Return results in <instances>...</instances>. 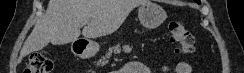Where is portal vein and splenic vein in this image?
Returning a JSON list of instances; mask_svg holds the SVG:
<instances>
[{
  "label": "portal vein and splenic vein",
  "instance_id": "1",
  "mask_svg": "<svg viewBox=\"0 0 244 73\" xmlns=\"http://www.w3.org/2000/svg\"><path fill=\"white\" fill-rule=\"evenodd\" d=\"M90 21L89 20H85L82 24L83 25H86V24H88Z\"/></svg>",
  "mask_w": 244,
  "mask_h": 73
}]
</instances>
